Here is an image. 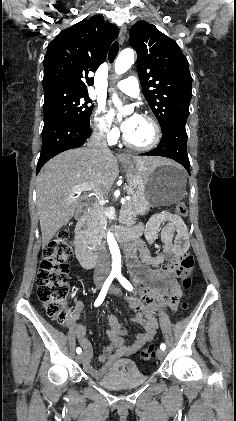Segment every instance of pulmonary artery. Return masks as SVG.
Segmentation results:
<instances>
[{
	"mask_svg": "<svg viewBox=\"0 0 236 421\" xmlns=\"http://www.w3.org/2000/svg\"><path fill=\"white\" fill-rule=\"evenodd\" d=\"M116 87L130 96L135 97L139 94V84L135 77H128L124 80L119 81L116 84Z\"/></svg>",
	"mask_w": 236,
	"mask_h": 421,
	"instance_id": "1",
	"label": "pulmonary artery"
}]
</instances>
